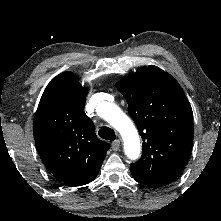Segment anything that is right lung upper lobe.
Instances as JSON below:
<instances>
[{"label":"right lung upper lobe","mask_w":221,"mask_h":221,"mask_svg":"<svg viewBox=\"0 0 221 221\" xmlns=\"http://www.w3.org/2000/svg\"><path fill=\"white\" fill-rule=\"evenodd\" d=\"M86 94L74 74L63 72L46 87L35 114L33 130L40 157L69 186L93 181L109 149L83 111Z\"/></svg>","instance_id":"cb5924a9"}]
</instances>
